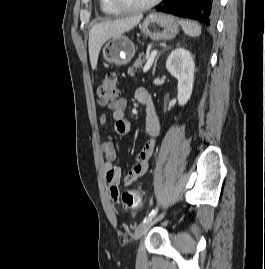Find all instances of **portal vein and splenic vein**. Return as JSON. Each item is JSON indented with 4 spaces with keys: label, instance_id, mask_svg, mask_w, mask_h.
Segmentation results:
<instances>
[{
    "label": "portal vein and splenic vein",
    "instance_id": "obj_1",
    "mask_svg": "<svg viewBox=\"0 0 265 269\" xmlns=\"http://www.w3.org/2000/svg\"><path fill=\"white\" fill-rule=\"evenodd\" d=\"M156 54H157V50H154L151 52L146 64L144 65V68H143L144 73H146L150 69Z\"/></svg>",
    "mask_w": 265,
    "mask_h": 269
}]
</instances>
